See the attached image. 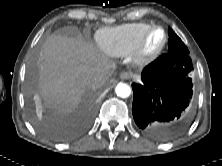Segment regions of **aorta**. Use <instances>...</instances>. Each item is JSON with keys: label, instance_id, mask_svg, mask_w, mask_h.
I'll return each instance as SVG.
<instances>
[{"label": "aorta", "instance_id": "762f6f07", "mask_svg": "<svg viewBox=\"0 0 222 166\" xmlns=\"http://www.w3.org/2000/svg\"><path fill=\"white\" fill-rule=\"evenodd\" d=\"M115 92L117 96L121 98H127L131 94V88L125 83H119L115 88Z\"/></svg>", "mask_w": 222, "mask_h": 166}]
</instances>
